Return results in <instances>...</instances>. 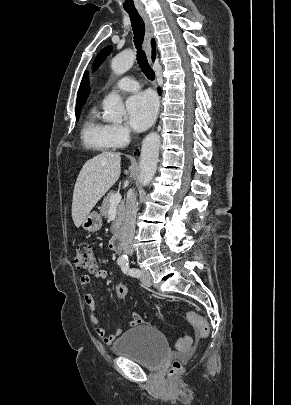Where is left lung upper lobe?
Instances as JSON below:
<instances>
[{
	"label": "left lung upper lobe",
	"instance_id": "obj_1",
	"mask_svg": "<svg viewBox=\"0 0 291 405\" xmlns=\"http://www.w3.org/2000/svg\"><path fill=\"white\" fill-rule=\"evenodd\" d=\"M112 47L111 46H107L104 49H102L100 51V53L98 54V56L96 57L93 66H94V70L101 64V62L105 59V57L111 52Z\"/></svg>",
	"mask_w": 291,
	"mask_h": 405
}]
</instances>
